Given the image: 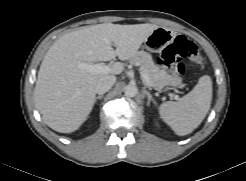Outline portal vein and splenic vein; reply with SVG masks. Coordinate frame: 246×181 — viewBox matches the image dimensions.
Listing matches in <instances>:
<instances>
[{
  "mask_svg": "<svg viewBox=\"0 0 246 181\" xmlns=\"http://www.w3.org/2000/svg\"><path fill=\"white\" fill-rule=\"evenodd\" d=\"M78 66L81 68V69H84L90 73H107L109 71V67L104 65L103 63H97V64H88V63H85V62H80L78 64ZM141 76L143 78V81L145 82L146 85H148L149 83V78L146 74L144 73H141ZM175 99H178V96L176 95L175 96Z\"/></svg>",
  "mask_w": 246,
  "mask_h": 181,
  "instance_id": "18ae733b",
  "label": "portal vein and splenic vein"
}]
</instances>
